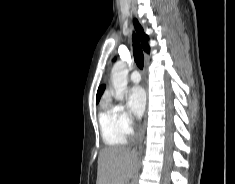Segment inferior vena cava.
Instances as JSON below:
<instances>
[{"mask_svg":"<svg viewBox=\"0 0 235 184\" xmlns=\"http://www.w3.org/2000/svg\"><path fill=\"white\" fill-rule=\"evenodd\" d=\"M136 134H137V140H139V138L141 136V126H139ZM132 152H134V154H136V148H133Z\"/></svg>","mask_w":235,"mask_h":184,"instance_id":"obj_1","label":"inferior vena cava"}]
</instances>
